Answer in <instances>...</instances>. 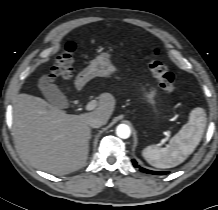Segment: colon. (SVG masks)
Returning a JSON list of instances; mask_svg holds the SVG:
<instances>
[{
    "instance_id": "obj_1",
    "label": "colon",
    "mask_w": 218,
    "mask_h": 210,
    "mask_svg": "<svg viewBox=\"0 0 218 210\" xmlns=\"http://www.w3.org/2000/svg\"><path fill=\"white\" fill-rule=\"evenodd\" d=\"M158 51L152 50L149 57V68L153 76L158 80L161 89L166 93H172L175 89V79L167 66L158 59ZM73 65L72 50L67 51L58 59L54 68L53 79H68L71 75Z\"/></svg>"
}]
</instances>
